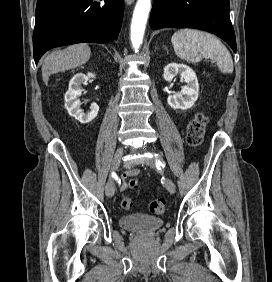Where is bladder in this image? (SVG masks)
I'll list each match as a JSON object with an SVG mask.
<instances>
[{"instance_id": "bladder-1", "label": "bladder", "mask_w": 272, "mask_h": 282, "mask_svg": "<svg viewBox=\"0 0 272 282\" xmlns=\"http://www.w3.org/2000/svg\"><path fill=\"white\" fill-rule=\"evenodd\" d=\"M119 224L126 230L140 234H152L163 225L160 217L131 214L119 218Z\"/></svg>"}]
</instances>
